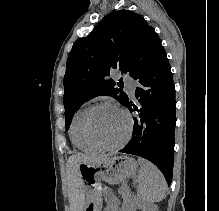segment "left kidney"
<instances>
[{"mask_svg": "<svg viewBox=\"0 0 219 211\" xmlns=\"http://www.w3.org/2000/svg\"><path fill=\"white\" fill-rule=\"evenodd\" d=\"M134 209H142V211H153V207H149V205H144L143 201L140 199H135L133 203ZM157 209V207H155Z\"/></svg>", "mask_w": 219, "mask_h": 211, "instance_id": "left-kidney-1", "label": "left kidney"}]
</instances>
